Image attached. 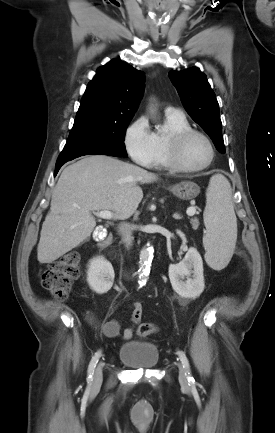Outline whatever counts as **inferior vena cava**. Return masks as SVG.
I'll use <instances>...</instances> for the list:
<instances>
[{
    "instance_id": "obj_1",
    "label": "inferior vena cava",
    "mask_w": 275,
    "mask_h": 433,
    "mask_svg": "<svg viewBox=\"0 0 275 433\" xmlns=\"http://www.w3.org/2000/svg\"><path fill=\"white\" fill-rule=\"evenodd\" d=\"M119 232L122 236V242L125 243L126 247L131 246L133 241L132 227L127 223L121 224Z\"/></svg>"
}]
</instances>
